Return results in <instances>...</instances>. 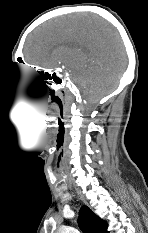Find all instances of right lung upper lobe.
Wrapping results in <instances>:
<instances>
[{"label": "right lung upper lobe", "mask_w": 148, "mask_h": 233, "mask_svg": "<svg viewBox=\"0 0 148 233\" xmlns=\"http://www.w3.org/2000/svg\"><path fill=\"white\" fill-rule=\"evenodd\" d=\"M78 224L83 233H109L108 224L99 218L88 206H82Z\"/></svg>", "instance_id": "obj_1"}]
</instances>
